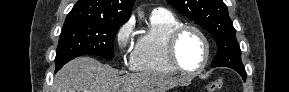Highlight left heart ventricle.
I'll return each mask as SVG.
<instances>
[{"mask_svg": "<svg viewBox=\"0 0 289 92\" xmlns=\"http://www.w3.org/2000/svg\"><path fill=\"white\" fill-rule=\"evenodd\" d=\"M205 47L201 38L192 31L182 35L177 47L180 64L187 70L197 69L204 59Z\"/></svg>", "mask_w": 289, "mask_h": 92, "instance_id": "left-heart-ventricle-1", "label": "left heart ventricle"}]
</instances>
